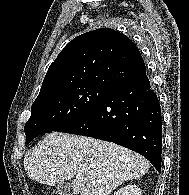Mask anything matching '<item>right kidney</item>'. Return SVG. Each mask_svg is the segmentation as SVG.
Wrapping results in <instances>:
<instances>
[{
  "mask_svg": "<svg viewBox=\"0 0 189 195\" xmlns=\"http://www.w3.org/2000/svg\"><path fill=\"white\" fill-rule=\"evenodd\" d=\"M113 195H142V193L136 184H129L117 190Z\"/></svg>",
  "mask_w": 189,
  "mask_h": 195,
  "instance_id": "right-kidney-1",
  "label": "right kidney"
}]
</instances>
